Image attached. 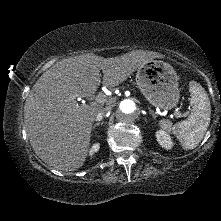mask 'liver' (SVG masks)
<instances>
[{
	"label": "liver",
	"mask_w": 221,
	"mask_h": 221,
	"mask_svg": "<svg viewBox=\"0 0 221 221\" xmlns=\"http://www.w3.org/2000/svg\"><path fill=\"white\" fill-rule=\"evenodd\" d=\"M163 55L131 51L103 58L83 54L63 59L33 85L24 106L26 132L36 155L49 166L74 171L89 153L91 130L102 105H79L78 97L94 94L101 84L115 87L140 66Z\"/></svg>",
	"instance_id": "obj_1"
}]
</instances>
